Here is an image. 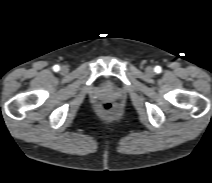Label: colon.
<instances>
[{
  "label": "colon",
  "instance_id": "obj_1",
  "mask_svg": "<svg viewBox=\"0 0 212 183\" xmlns=\"http://www.w3.org/2000/svg\"><path fill=\"white\" fill-rule=\"evenodd\" d=\"M116 105L113 102L105 101L99 104V111L102 115L108 117L112 116L116 112Z\"/></svg>",
  "mask_w": 212,
  "mask_h": 183
}]
</instances>
